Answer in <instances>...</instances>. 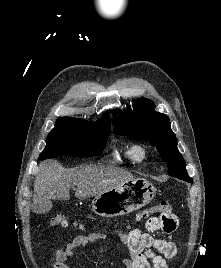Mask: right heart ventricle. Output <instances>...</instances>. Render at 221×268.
I'll use <instances>...</instances> for the list:
<instances>
[{"mask_svg": "<svg viewBox=\"0 0 221 268\" xmlns=\"http://www.w3.org/2000/svg\"><path fill=\"white\" fill-rule=\"evenodd\" d=\"M131 149L132 146L130 145L121 148H115L113 152L114 158L119 162H133L134 160L131 155Z\"/></svg>", "mask_w": 221, "mask_h": 268, "instance_id": "e07e8e85", "label": "right heart ventricle"}]
</instances>
